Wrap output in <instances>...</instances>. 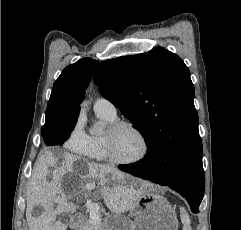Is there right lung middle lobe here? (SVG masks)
I'll return each instance as SVG.
<instances>
[{
	"label": "right lung middle lobe",
	"instance_id": "dd1d6c3e",
	"mask_svg": "<svg viewBox=\"0 0 241 230\" xmlns=\"http://www.w3.org/2000/svg\"><path fill=\"white\" fill-rule=\"evenodd\" d=\"M77 120L46 121L41 129V135L46 145H62L73 131Z\"/></svg>",
	"mask_w": 241,
	"mask_h": 230
}]
</instances>
